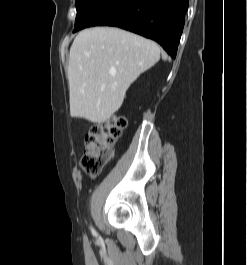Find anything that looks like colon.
Segmentation results:
<instances>
[{
  "label": "colon",
  "mask_w": 247,
  "mask_h": 265,
  "mask_svg": "<svg viewBox=\"0 0 247 265\" xmlns=\"http://www.w3.org/2000/svg\"><path fill=\"white\" fill-rule=\"evenodd\" d=\"M124 116L94 125L85 137L86 150L82 157V167L89 174L99 173L113 157V145L126 127Z\"/></svg>",
  "instance_id": "1"
}]
</instances>
